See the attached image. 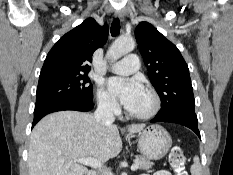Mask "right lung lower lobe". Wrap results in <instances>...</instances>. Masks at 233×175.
I'll list each match as a JSON object with an SVG mask.
<instances>
[{
	"label": "right lung lower lobe",
	"mask_w": 233,
	"mask_h": 175,
	"mask_svg": "<svg viewBox=\"0 0 233 175\" xmlns=\"http://www.w3.org/2000/svg\"><path fill=\"white\" fill-rule=\"evenodd\" d=\"M94 107L92 102L54 101L35 107L32 127L45 115L62 110L90 111Z\"/></svg>",
	"instance_id": "98d812e1"
}]
</instances>
